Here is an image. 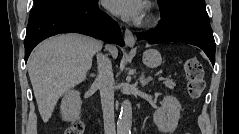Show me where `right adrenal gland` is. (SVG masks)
Masks as SVG:
<instances>
[{"label": "right adrenal gland", "instance_id": "obj_1", "mask_svg": "<svg viewBox=\"0 0 239 134\" xmlns=\"http://www.w3.org/2000/svg\"><path fill=\"white\" fill-rule=\"evenodd\" d=\"M90 77H95V74H91Z\"/></svg>", "mask_w": 239, "mask_h": 134}]
</instances>
